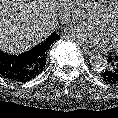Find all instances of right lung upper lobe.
I'll use <instances>...</instances> for the list:
<instances>
[{"label":"right lung upper lobe","mask_w":118,"mask_h":118,"mask_svg":"<svg viewBox=\"0 0 118 118\" xmlns=\"http://www.w3.org/2000/svg\"><path fill=\"white\" fill-rule=\"evenodd\" d=\"M57 39H58V35L55 33H52L46 41L36 45L35 47L31 49V51L34 53V55L37 58L36 68H38L39 70H43V67L46 64L47 52L51 44Z\"/></svg>","instance_id":"right-lung-upper-lobe-1"}]
</instances>
